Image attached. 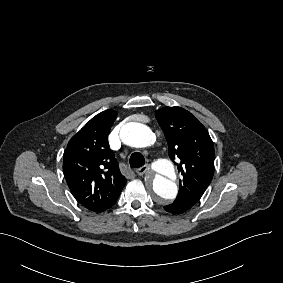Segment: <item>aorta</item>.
Segmentation results:
<instances>
[{"label": "aorta", "mask_w": 283, "mask_h": 283, "mask_svg": "<svg viewBox=\"0 0 283 283\" xmlns=\"http://www.w3.org/2000/svg\"><path fill=\"white\" fill-rule=\"evenodd\" d=\"M120 137L126 145L135 148L148 147L154 140V134L151 129L137 122L125 124L120 131ZM154 169L156 174L152 182H149V185L157 199L161 201L175 199L178 188L173 180L175 169L172 162L167 159H160L155 163Z\"/></svg>", "instance_id": "obj_1"}]
</instances>
